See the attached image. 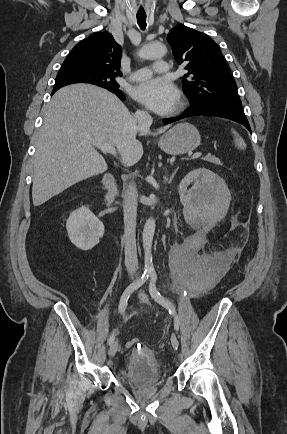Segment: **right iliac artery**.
<instances>
[{
    "instance_id": "82829eb1",
    "label": "right iliac artery",
    "mask_w": 287,
    "mask_h": 434,
    "mask_svg": "<svg viewBox=\"0 0 287 434\" xmlns=\"http://www.w3.org/2000/svg\"><path fill=\"white\" fill-rule=\"evenodd\" d=\"M150 277V273L149 272H144L142 274V276L140 278H138L135 282H133L132 284H130L125 291L123 292L120 302H119V312L120 313H124L128 304V300L129 297L131 296V294L137 290L139 287H141ZM116 333L113 332L109 339H108V344L111 345L115 339Z\"/></svg>"
}]
</instances>
